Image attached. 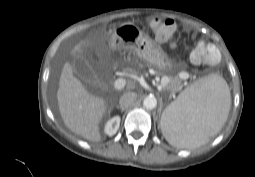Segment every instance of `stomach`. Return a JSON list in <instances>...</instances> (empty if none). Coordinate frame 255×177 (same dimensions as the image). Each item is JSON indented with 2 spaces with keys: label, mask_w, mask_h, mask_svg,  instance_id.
Listing matches in <instances>:
<instances>
[{
  "label": "stomach",
  "mask_w": 255,
  "mask_h": 177,
  "mask_svg": "<svg viewBox=\"0 0 255 177\" xmlns=\"http://www.w3.org/2000/svg\"><path fill=\"white\" fill-rule=\"evenodd\" d=\"M110 42L113 48L129 50L162 71H169L173 66L163 49L134 23L126 22L115 28Z\"/></svg>",
  "instance_id": "1"
}]
</instances>
